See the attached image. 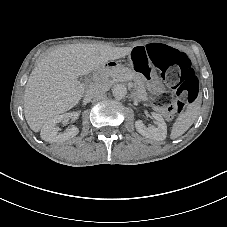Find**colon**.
<instances>
[{"instance_id": "obj_1", "label": "colon", "mask_w": 227, "mask_h": 227, "mask_svg": "<svg viewBox=\"0 0 227 227\" xmlns=\"http://www.w3.org/2000/svg\"><path fill=\"white\" fill-rule=\"evenodd\" d=\"M149 62L143 54L133 51L131 61L144 75H150L154 68L161 72L162 78L174 90L175 96L165 92L153 100V104L166 111L168 115L180 113L185 102L198 97L199 83L188 57L177 49L163 44H149Z\"/></svg>"}]
</instances>
